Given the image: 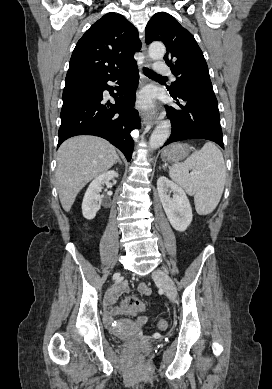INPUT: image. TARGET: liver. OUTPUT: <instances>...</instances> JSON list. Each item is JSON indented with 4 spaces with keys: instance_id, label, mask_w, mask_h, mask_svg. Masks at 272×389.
Returning a JSON list of instances; mask_svg holds the SVG:
<instances>
[{
    "instance_id": "6515ba94",
    "label": "liver",
    "mask_w": 272,
    "mask_h": 389,
    "mask_svg": "<svg viewBox=\"0 0 272 389\" xmlns=\"http://www.w3.org/2000/svg\"><path fill=\"white\" fill-rule=\"evenodd\" d=\"M116 149L95 136L65 141L57 153L56 185L61 205L69 212L77 194L92 179L108 171L117 160Z\"/></svg>"
}]
</instances>
